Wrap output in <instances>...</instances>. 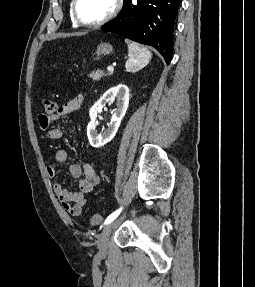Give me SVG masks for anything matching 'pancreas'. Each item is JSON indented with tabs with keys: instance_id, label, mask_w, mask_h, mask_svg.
I'll return each mask as SVG.
<instances>
[{
	"instance_id": "pancreas-1",
	"label": "pancreas",
	"mask_w": 255,
	"mask_h": 287,
	"mask_svg": "<svg viewBox=\"0 0 255 287\" xmlns=\"http://www.w3.org/2000/svg\"><path fill=\"white\" fill-rule=\"evenodd\" d=\"M89 78H92V80H101V78H104V76H112V74H105L104 70H96V72H91V74H88Z\"/></svg>"
}]
</instances>
